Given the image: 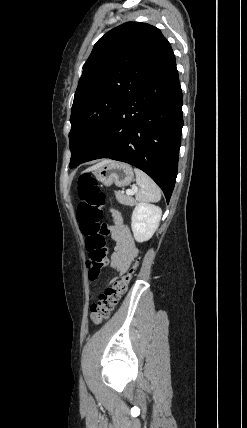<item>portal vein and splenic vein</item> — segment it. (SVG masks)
I'll use <instances>...</instances> for the list:
<instances>
[{"instance_id":"1","label":"portal vein and splenic vein","mask_w":247,"mask_h":428,"mask_svg":"<svg viewBox=\"0 0 247 428\" xmlns=\"http://www.w3.org/2000/svg\"><path fill=\"white\" fill-rule=\"evenodd\" d=\"M138 188L134 187L133 189L126 190L127 195H133L135 192H137Z\"/></svg>"}]
</instances>
